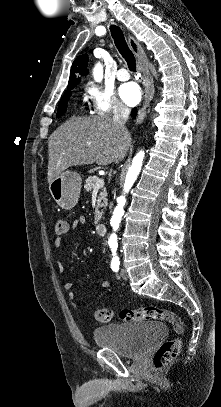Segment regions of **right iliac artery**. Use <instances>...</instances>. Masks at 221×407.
I'll return each instance as SVG.
<instances>
[{
  "instance_id": "obj_1",
  "label": "right iliac artery",
  "mask_w": 221,
  "mask_h": 407,
  "mask_svg": "<svg viewBox=\"0 0 221 407\" xmlns=\"http://www.w3.org/2000/svg\"><path fill=\"white\" fill-rule=\"evenodd\" d=\"M111 269H112L114 272H118V271H119V265H118V264H111Z\"/></svg>"
}]
</instances>
